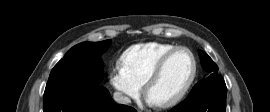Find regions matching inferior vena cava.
Listing matches in <instances>:
<instances>
[{
    "mask_svg": "<svg viewBox=\"0 0 270 112\" xmlns=\"http://www.w3.org/2000/svg\"><path fill=\"white\" fill-rule=\"evenodd\" d=\"M113 99H114L115 102H117L119 104H128V103H130V98L123 95L120 92H115L113 94Z\"/></svg>",
    "mask_w": 270,
    "mask_h": 112,
    "instance_id": "1",
    "label": "inferior vena cava"
}]
</instances>
